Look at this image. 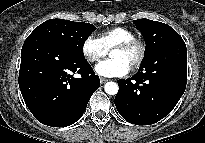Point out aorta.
Masks as SVG:
<instances>
[{"mask_svg": "<svg viewBox=\"0 0 205 143\" xmlns=\"http://www.w3.org/2000/svg\"><path fill=\"white\" fill-rule=\"evenodd\" d=\"M118 85L115 82H107L104 86V90L109 95H115L118 92Z\"/></svg>", "mask_w": 205, "mask_h": 143, "instance_id": "1", "label": "aorta"}]
</instances>
